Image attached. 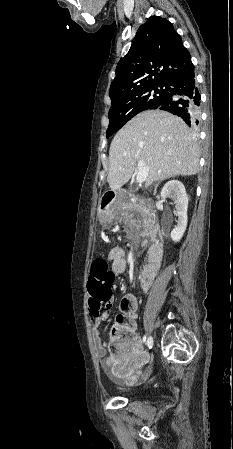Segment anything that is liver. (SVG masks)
<instances>
[{
	"label": "liver",
	"instance_id": "obj_1",
	"mask_svg": "<svg viewBox=\"0 0 233 449\" xmlns=\"http://www.w3.org/2000/svg\"><path fill=\"white\" fill-rule=\"evenodd\" d=\"M199 157L196 135L180 117L161 110L144 111L113 138L107 181L113 191L120 189L142 160L149 167L148 187L170 176L196 174Z\"/></svg>",
	"mask_w": 233,
	"mask_h": 449
}]
</instances>
